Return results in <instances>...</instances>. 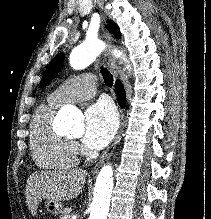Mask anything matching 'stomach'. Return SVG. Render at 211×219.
<instances>
[{"mask_svg":"<svg viewBox=\"0 0 211 219\" xmlns=\"http://www.w3.org/2000/svg\"><path fill=\"white\" fill-rule=\"evenodd\" d=\"M45 208L53 215H58L62 212L63 206L61 202L53 201L50 199L45 200Z\"/></svg>","mask_w":211,"mask_h":219,"instance_id":"1","label":"stomach"}]
</instances>
